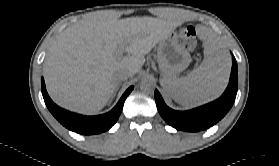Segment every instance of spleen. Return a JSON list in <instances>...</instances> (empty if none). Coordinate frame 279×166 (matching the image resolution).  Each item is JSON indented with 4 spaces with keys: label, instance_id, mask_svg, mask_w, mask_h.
Segmentation results:
<instances>
[{
    "label": "spleen",
    "instance_id": "3e777b00",
    "mask_svg": "<svg viewBox=\"0 0 279 166\" xmlns=\"http://www.w3.org/2000/svg\"><path fill=\"white\" fill-rule=\"evenodd\" d=\"M200 36L204 45V60L187 76L160 80L163 88L179 104L196 106L218 97L225 89L230 58L220 40L208 29L202 28Z\"/></svg>",
    "mask_w": 279,
    "mask_h": 166
}]
</instances>
